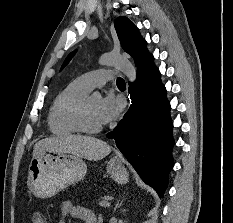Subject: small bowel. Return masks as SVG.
<instances>
[{"label": "small bowel", "instance_id": "1", "mask_svg": "<svg viewBox=\"0 0 233 223\" xmlns=\"http://www.w3.org/2000/svg\"><path fill=\"white\" fill-rule=\"evenodd\" d=\"M68 216L83 223H100L96 214L91 209L74 205L71 201L67 200L62 203L61 216L58 223H66Z\"/></svg>", "mask_w": 233, "mask_h": 223}]
</instances>
